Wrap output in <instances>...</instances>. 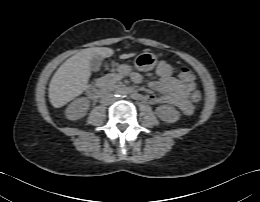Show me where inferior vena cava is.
Returning a JSON list of instances; mask_svg holds the SVG:
<instances>
[{"instance_id":"1","label":"inferior vena cava","mask_w":260,"mask_h":202,"mask_svg":"<svg viewBox=\"0 0 260 202\" xmlns=\"http://www.w3.org/2000/svg\"><path fill=\"white\" fill-rule=\"evenodd\" d=\"M115 96L113 94H105L102 96L101 103L108 105L115 101Z\"/></svg>"}]
</instances>
